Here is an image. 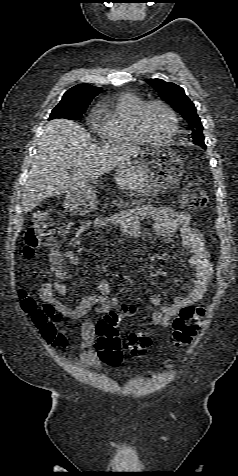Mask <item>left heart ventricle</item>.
<instances>
[{
  "label": "left heart ventricle",
  "instance_id": "1",
  "mask_svg": "<svg viewBox=\"0 0 238 476\" xmlns=\"http://www.w3.org/2000/svg\"><path fill=\"white\" fill-rule=\"evenodd\" d=\"M144 125L151 137L162 139L170 133L172 119L163 107L154 105L146 111Z\"/></svg>",
  "mask_w": 238,
  "mask_h": 476
}]
</instances>
